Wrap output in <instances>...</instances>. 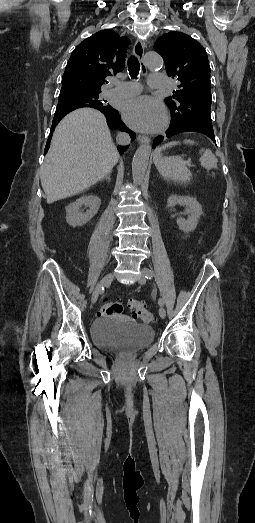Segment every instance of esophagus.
Listing matches in <instances>:
<instances>
[{
  "instance_id": "34e87169",
  "label": "esophagus",
  "mask_w": 255,
  "mask_h": 523,
  "mask_svg": "<svg viewBox=\"0 0 255 523\" xmlns=\"http://www.w3.org/2000/svg\"><path fill=\"white\" fill-rule=\"evenodd\" d=\"M133 52L135 57H137L139 60L141 70H145L146 66L144 64V43L141 40H136L135 45L133 47ZM137 141L139 143H148L150 139L145 135H138Z\"/></svg>"
}]
</instances>
